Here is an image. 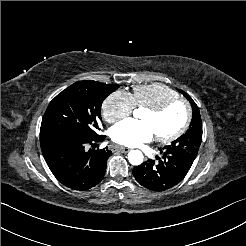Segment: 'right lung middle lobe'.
Instances as JSON below:
<instances>
[{"label":"right lung middle lobe","mask_w":246,"mask_h":246,"mask_svg":"<svg viewBox=\"0 0 246 246\" xmlns=\"http://www.w3.org/2000/svg\"><path fill=\"white\" fill-rule=\"evenodd\" d=\"M117 84L78 81L59 93L49 104L40 135L61 133L86 138L98 136L103 100L118 89Z\"/></svg>","instance_id":"1"}]
</instances>
